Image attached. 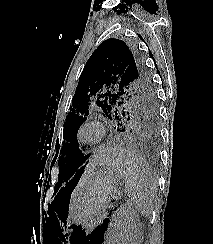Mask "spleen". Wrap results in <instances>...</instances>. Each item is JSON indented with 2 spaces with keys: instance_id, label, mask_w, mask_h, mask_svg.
<instances>
[{
  "instance_id": "1",
  "label": "spleen",
  "mask_w": 213,
  "mask_h": 244,
  "mask_svg": "<svg viewBox=\"0 0 213 244\" xmlns=\"http://www.w3.org/2000/svg\"><path fill=\"white\" fill-rule=\"evenodd\" d=\"M111 167L125 179L129 203L134 204L141 215L147 217L152 211V180L143 158L123 149L111 150Z\"/></svg>"
}]
</instances>
